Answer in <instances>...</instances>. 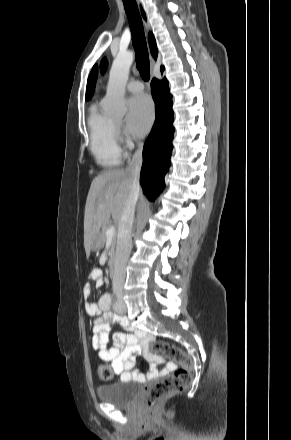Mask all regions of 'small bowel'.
Returning a JSON list of instances; mask_svg holds the SVG:
<instances>
[{
	"instance_id": "c3829d8e",
	"label": "small bowel",
	"mask_w": 291,
	"mask_h": 440,
	"mask_svg": "<svg viewBox=\"0 0 291 440\" xmlns=\"http://www.w3.org/2000/svg\"><path fill=\"white\" fill-rule=\"evenodd\" d=\"M92 279L97 285H102L101 272L96 270L92 274ZM92 286L85 285L83 288L84 306L87 313L94 317L92 346L98 357L110 364L113 373L120 375L123 379L135 380L141 383L168 375L177 367L174 361H164L161 358L152 357L148 354L150 341L154 335L149 332L136 330L133 334L116 333L113 335V344H109L108 331L113 323L127 325V319L121 318L109 312V299L104 296L99 304L90 300ZM144 353L151 361L150 372L144 374L133 370L135 367V354ZM163 364L159 368L158 365Z\"/></svg>"
}]
</instances>
